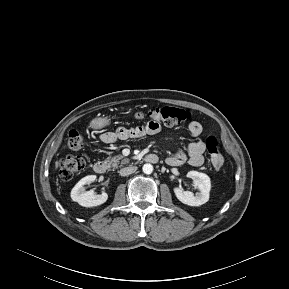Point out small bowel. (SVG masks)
Masks as SVG:
<instances>
[{
	"label": "small bowel",
	"instance_id": "small-bowel-1",
	"mask_svg": "<svg viewBox=\"0 0 289 289\" xmlns=\"http://www.w3.org/2000/svg\"><path fill=\"white\" fill-rule=\"evenodd\" d=\"M191 136L198 137L201 135L203 128L197 121H192L188 126ZM161 131V126L156 122H148L144 126L134 128L118 127L115 131H108L100 136L103 143L109 144L117 140H127L141 138L148 135H155ZM205 143L197 140L187 146L186 153L179 151L166 159L171 166H178L188 160L189 164L198 167L204 162Z\"/></svg>",
	"mask_w": 289,
	"mask_h": 289
}]
</instances>
